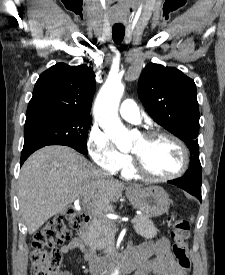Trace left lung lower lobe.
I'll list each match as a JSON object with an SVG mask.
<instances>
[{"instance_id": "left-lung-lower-lobe-1", "label": "left lung lower lobe", "mask_w": 225, "mask_h": 275, "mask_svg": "<svg viewBox=\"0 0 225 275\" xmlns=\"http://www.w3.org/2000/svg\"><path fill=\"white\" fill-rule=\"evenodd\" d=\"M201 200V164L190 166L186 173L178 179L168 181Z\"/></svg>"}]
</instances>
